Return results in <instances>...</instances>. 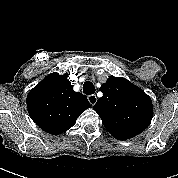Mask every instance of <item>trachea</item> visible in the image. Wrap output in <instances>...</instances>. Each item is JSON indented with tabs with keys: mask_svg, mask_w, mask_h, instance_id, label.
I'll use <instances>...</instances> for the list:
<instances>
[{
	"mask_svg": "<svg viewBox=\"0 0 178 178\" xmlns=\"http://www.w3.org/2000/svg\"><path fill=\"white\" fill-rule=\"evenodd\" d=\"M83 92L86 94V95H91V94H94L95 93V87L93 85V83L89 82V81H86L83 85Z\"/></svg>",
	"mask_w": 178,
	"mask_h": 178,
	"instance_id": "obj_1",
	"label": "trachea"
}]
</instances>
